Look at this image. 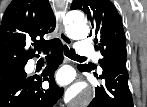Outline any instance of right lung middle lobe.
Listing matches in <instances>:
<instances>
[{
	"label": "right lung middle lobe",
	"mask_w": 147,
	"mask_h": 107,
	"mask_svg": "<svg viewBox=\"0 0 147 107\" xmlns=\"http://www.w3.org/2000/svg\"><path fill=\"white\" fill-rule=\"evenodd\" d=\"M25 75L24 66H13L0 69V85L4 84L14 78Z\"/></svg>",
	"instance_id": "dd1d6c3e"
}]
</instances>
